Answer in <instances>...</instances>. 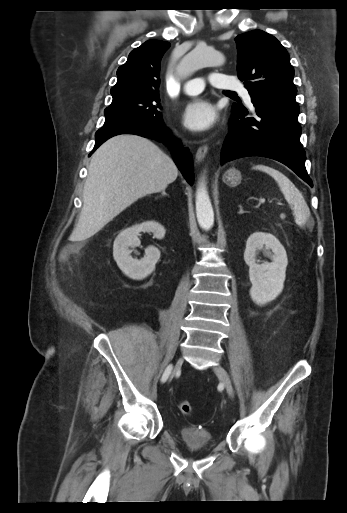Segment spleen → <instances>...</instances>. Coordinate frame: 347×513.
<instances>
[{
    "label": "spleen",
    "mask_w": 347,
    "mask_h": 513,
    "mask_svg": "<svg viewBox=\"0 0 347 513\" xmlns=\"http://www.w3.org/2000/svg\"><path fill=\"white\" fill-rule=\"evenodd\" d=\"M253 169L265 172L274 178L285 199L293 210L295 222L299 225H304L310 217V210L302 196V193L293 184V182H291V180L279 170L265 164L255 165L253 166Z\"/></svg>",
    "instance_id": "1"
}]
</instances>
